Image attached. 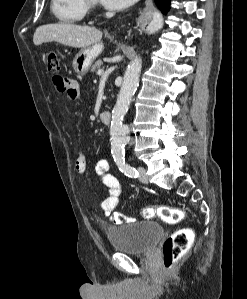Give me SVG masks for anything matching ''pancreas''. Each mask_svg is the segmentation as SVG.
<instances>
[{"label":"pancreas","instance_id":"obj_1","mask_svg":"<svg viewBox=\"0 0 247 299\" xmlns=\"http://www.w3.org/2000/svg\"><path fill=\"white\" fill-rule=\"evenodd\" d=\"M102 65H103L102 60H98V61H96V62L93 64V66H92L91 72L94 73V72L100 70L101 67H102Z\"/></svg>","mask_w":247,"mask_h":299}]
</instances>
